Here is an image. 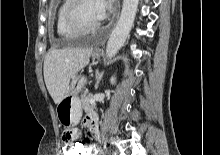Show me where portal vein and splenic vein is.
<instances>
[{
    "label": "portal vein and splenic vein",
    "instance_id": "18ae733b",
    "mask_svg": "<svg viewBox=\"0 0 220 155\" xmlns=\"http://www.w3.org/2000/svg\"><path fill=\"white\" fill-rule=\"evenodd\" d=\"M90 103H91V104L95 103V100H94V99H91V100H90Z\"/></svg>",
    "mask_w": 220,
    "mask_h": 155
}]
</instances>
